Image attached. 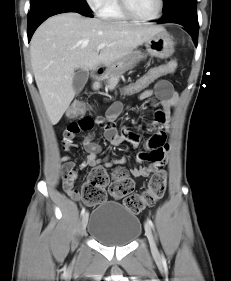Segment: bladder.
Instances as JSON below:
<instances>
[{"label":"bladder","instance_id":"1","mask_svg":"<svg viewBox=\"0 0 231 281\" xmlns=\"http://www.w3.org/2000/svg\"><path fill=\"white\" fill-rule=\"evenodd\" d=\"M88 233L98 243L108 247H121L132 243L140 235V219L117 202H104L91 213Z\"/></svg>","mask_w":231,"mask_h":281}]
</instances>
